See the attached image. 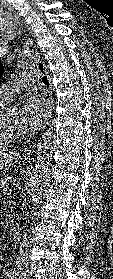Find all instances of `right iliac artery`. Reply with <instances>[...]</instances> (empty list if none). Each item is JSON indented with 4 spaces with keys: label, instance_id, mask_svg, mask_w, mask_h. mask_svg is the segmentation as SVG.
Wrapping results in <instances>:
<instances>
[{
    "label": "right iliac artery",
    "instance_id": "1",
    "mask_svg": "<svg viewBox=\"0 0 113 279\" xmlns=\"http://www.w3.org/2000/svg\"><path fill=\"white\" fill-rule=\"evenodd\" d=\"M11 275H12V277L14 278V277H16V276L18 275V273L16 272L15 269H12V270H11Z\"/></svg>",
    "mask_w": 113,
    "mask_h": 279
}]
</instances>
